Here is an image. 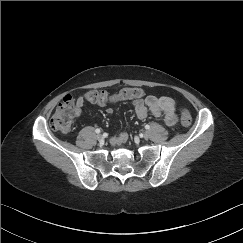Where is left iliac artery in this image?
Listing matches in <instances>:
<instances>
[{"label": "left iliac artery", "mask_w": 243, "mask_h": 243, "mask_svg": "<svg viewBox=\"0 0 243 243\" xmlns=\"http://www.w3.org/2000/svg\"><path fill=\"white\" fill-rule=\"evenodd\" d=\"M145 129H150V126L148 124H146Z\"/></svg>", "instance_id": "left-iliac-artery-1"}]
</instances>
